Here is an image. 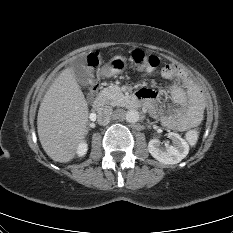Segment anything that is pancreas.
<instances>
[{
	"mask_svg": "<svg viewBox=\"0 0 233 233\" xmlns=\"http://www.w3.org/2000/svg\"><path fill=\"white\" fill-rule=\"evenodd\" d=\"M102 95L106 98L107 102L112 106L125 107L129 106V97L125 96L120 87L112 85L102 91Z\"/></svg>",
	"mask_w": 233,
	"mask_h": 233,
	"instance_id": "obj_1",
	"label": "pancreas"
}]
</instances>
